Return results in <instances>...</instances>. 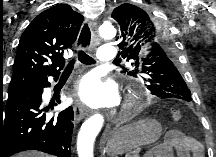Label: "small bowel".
Listing matches in <instances>:
<instances>
[{
	"label": "small bowel",
	"mask_w": 216,
	"mask_h": 157,
	"mask_svg": "<svg viewBox=\"0 0 216 157\" xmlns=\"http://www.w3.org/2000/svg\"><path fill=\"white\" fill-rule=\"evenodd\" d=\"M203 157L204 149L195 138L189 137L180 131L174 130L168 133L162 145L160 157Z\"/></svg>",
	"instance_id": "c3829d8e"
}]
</instances>
